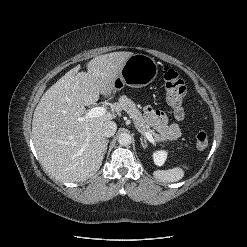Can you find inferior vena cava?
<instances>
[{
    "label": "inferior vena cava",
    "mask_w": 247,
    "mask_h": 247,
    "mask_svg": "<svg viewBox=\"0 0 247 247\" xmlns=\"http://www.w3.org/2000/svg\"><path fill=\"white\" fill-rule=\"evenodd\" d=\"M116 130H117V125L113 121H107L103 125V135L105 137L113 136L115 134Z\"/></svg>",
    "instance_id": "1"
}]
</instances>
